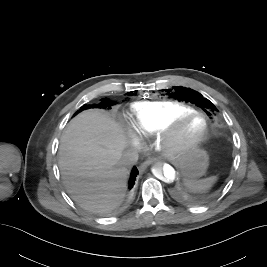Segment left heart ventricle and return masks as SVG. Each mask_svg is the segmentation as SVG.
<instances>
[{
  "label": "left heart ventricle",
  "instance_id": "left-heart-ventricle-1",
  "mask_svg": "<svg viewBox=\"0 0 267 267\" xmlns=\"http://www.w3.org/2000/svg\"><path fill=\"white\" fill-rule=\"evenodd\" d=\"M203 128V120L199 117L187 121L179 130V136L183 139H189L198 135Z\"/></svg>",
  "mask_w": 267,
  "mask_h": 267
}]
</instances>
